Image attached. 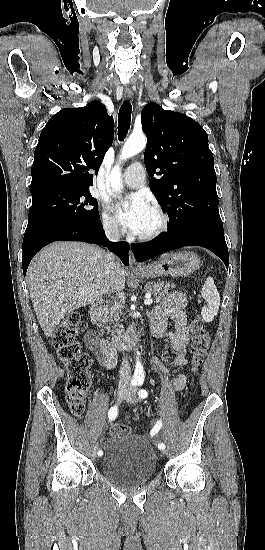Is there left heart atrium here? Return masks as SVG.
Returning <instances> with one entry per match:
<instances>
[{
    "label": "left heart atrium",
    "mask_w": 265,
    "mask_h": 550,
    "mask_svg": "<svg viewBox=\"0 0 265 550\" xmlns=\"http://www.w3.org/2000/svg\"><path fill=\"white\" fill-rule=\"evenodd\" d=\"M115 210L121 225L138 234L151 207L144 195L136 193L116 203Z\"/></svg>",
    "instance_id": "left-heart-atrium-1"
}]
</instances>
